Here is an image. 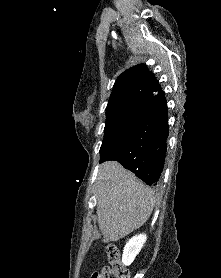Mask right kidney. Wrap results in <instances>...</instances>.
I'll use <instances>...</instances> for the list:
<instances>
[{
    "mask_svg": "<svg viewBox=\"0 0 221 278\" xmlns=\"http://www.w3.org/2000/svg\"><path fill=\"white\" fill-rule=\"evenodd\" d=\"M146 239L147 237L145 234H140L134 236L127 242L122 255V262L124 265L129 266L134 261L146 242Z\"/></svg>",
    "mask_w": 221,
    "mask_h": 278,
    "instance_id": "ca27d5eb",
    "label": "right kidney"
}]
</instances>
